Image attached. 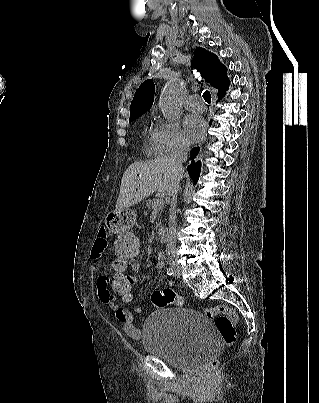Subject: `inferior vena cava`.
<instances>
[{
    "mask_svg": "<svg viewBox=\"0 0 319 403\" xmlns=\"http://www.w3.org/2000/svg\"><path fill=\"white\" fill-rule=\"evenodd\" d=\"M189 151V144L184 140H178L174 151L172 152L170 159L172 166L175 170V180L172 187L169 190V195L172 197L171 209L169 215V235L167 239V250H174L176 246V206H177V194L179 191L180 178L179 173L182 171V164L187 160Z\"/></svg>",
    "mask_w": 319,
    "mask_h": 403,
    "instance_id": "inferior-vena-cava-1",
    "label": "inferior vena cava"
}]
</instances>
